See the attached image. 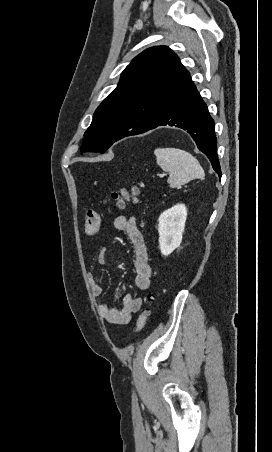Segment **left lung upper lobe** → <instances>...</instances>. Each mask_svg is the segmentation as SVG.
Listing matches in <instances>:
<instances>
[{"label": "left lung upper lobe", "instance_id": "left-lung-upper-lobe-1", "mask_svg": "<svg viewBox=\"0 0 272 452\" xmlns=\"http://www.w3.org/2000/svg\"><path fill=\"white\" fill-rule=\"evenodd\" d=\"M189 76L166 46L148 48L122 72L116 89L96 109L84 149L105 152L114 142L146 130Z\"/></svg>", "mask_w": 272, "mask_h": 452}]
</instances>
